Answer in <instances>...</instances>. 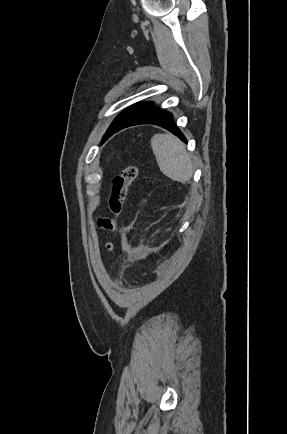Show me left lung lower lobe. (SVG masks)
I'll return each instance as SVG.
<instances>
[{"mask_svg": "<svg viewBox=\"0 0 287 434\" xmlns=\"http://www.w3.org/2000/svg\"><path fill=\"white\" fill-rule=\"evenodd\" d=\"M138 124H154L161 126L175 134L182 141L187 142L180 129L174 124L172 114L170 112L157 109L155 106H153V104L131 116L114 133L123 128Z\"/></svg>", "mask_w": 287, "mask_h": 434, "instance_id": "0a47b994", "label": "left lung lower lobe"}]
</instances>
